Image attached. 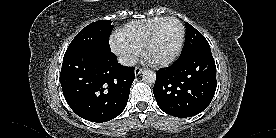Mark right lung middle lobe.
Returning a JSON list of instances; mask_svg holds the SVG:
<instances>
[{
    "mask_svg": "<svg viewBox=\"0 0 276 138\" xmlns=\"http://www.w3.org/2000/svg\"><path fill=\"white\" fill-rule=\"evenodd\" d=\"M112 29L110 20H99L89 24L75 36L65 54L84 48L110 50L109 37Z\"/></svg>",
    "mask_w": 276,
    "mask_h": 138,
    "instance_id": "right-lung-middle-lobe-1",
    "label": "right lung middle lobe"
}]
</instances>
